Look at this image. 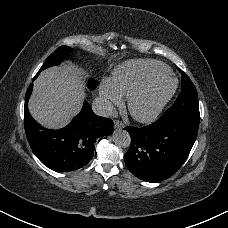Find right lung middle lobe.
<instances>
[{
  "mask_svg": "<svg viewBox=\"0 0 228 228\" xmlns=\"http://www.w3.org/2000/svg\"><path fill=\"white\" fill-rule=\"evenodd\" d=\"M71 50L70 47L68 46H61L59 47L57 50H55L44 62V64L42 65V67L40 68L39 72L37 74H39L42 70L57 65L59 63H61L67 52H69ZM97 82L93 79L89 80V89L90 90H94L96 88Z\"/></svg>",
  "mask_w": 228,
  "mask_h": 228,
  "instance_id": "right-lung-middle-lobe-1",
  "label": "right lung middle lobe"
}]
</instances>
